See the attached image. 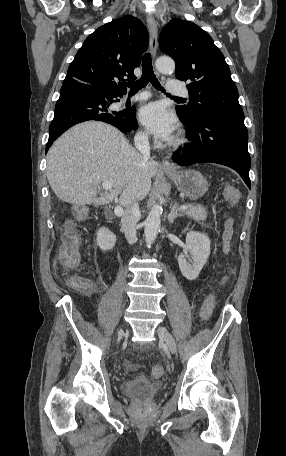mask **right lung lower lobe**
<instances>
[{"label":"right lung lower lobe","instance_id":"obj_1","mask_svg":"<svg viewBox=\"0 0 286 456\" xmlns=\"http://www.w3.org/2000/svg\"><path fill=\"white\" fill-rule=\"evenodd\" d=\"M118 101L117 97H109L84 84L63 83L59 100L55 106L54 119L49 126L46 153L54 140L68 128L80 122L103 121L117 127L122 132L136 129L135 107L119 112L109 109L113 102Z\"/></svg>","mask_w":286,"mask_h":456}]
</instances>
